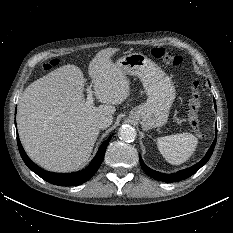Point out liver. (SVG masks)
I'll list each match as a JSON object with an SVG mask.
<instances>
[{
  "instance_id": "obj_1",
  "label": "liver",
  "mask_w": 233,
  "mask_h": 233,
  "mask_svg": "<svg viewBox=\"0 0 233 233\" xmlns=\"http://www.w3.org/2000/svg\"><path fill=\"white\" fill-rule=\"evenodd\" d=\"M118 49L99 51L88 73L94 94L102 104L86 105V79L75 65H64L31 83L18 102L17 126L28 156L52 172H71L83 167L91 156L101 116L112 117L114 105L130 94V81L111 61Z\"/></svg>"
}]
</instances>
